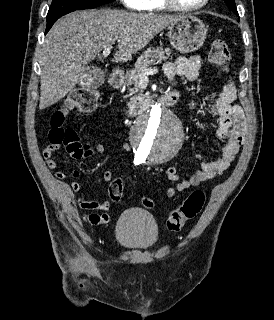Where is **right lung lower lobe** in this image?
<instances>
[{"mask_svg":"<svg viewBox=\"0 0 274 320\" xmlns=\"http://www.w3.org/2000/svg\"><path fill=\"white\" fill-rule=\"evenodd\" d=\"M61 16L52 18L47 20V26H46V31L45 34L50 30V28L52 27V25L60 18Z\"/></svg>","mask_w":274,"mask_h":320,"instance_id":"right-lung-lower-lobe-1","label":"right lung lower lobe"}]
</instances>
